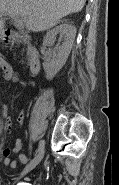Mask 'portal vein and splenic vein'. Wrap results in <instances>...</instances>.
<instances>
[{"label": "portal vein and splenic vein", "mask_w": 119, "mask_h": 185, "mask_svg": "<svg viewBox=\"0 0 119 185\" xmlns=\"http://www.w3.org/2000/svg\"><path fill=\"white\" fill-rule=\"evenodd\" d=\"M0 15H3V14H0ZM10 17H11V19L16 23V26L18 27V28H23L24 26H25V22L23 21V20H21L20 18H19V16H17V15H15V14H8Z\"/></svg>", "instance_id": "portal-vein-and-splenic-vein-1"}]
</instances>
